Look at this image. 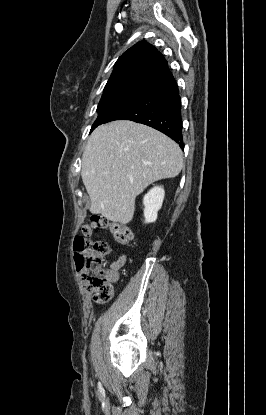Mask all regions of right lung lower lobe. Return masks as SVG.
<instances>
[{
    "label": "right lung lower lobe",
    "instance_id": "right-lung-lower-lobe-1",
    "mask_svg": "<svg viewBox=\"0 0 266 415\" xmlns=\"http://www.w3.org/2000/svg\"><path fill=\"white\" fill-rule=\"evenodd\" d=\"M114 120H131L148 125L166 134L184 148L181 101L175 79L115 113L107 122Z\"/></svg>",
    "mask_w": 266,
    "mask_h": 415
}]
</instances>
